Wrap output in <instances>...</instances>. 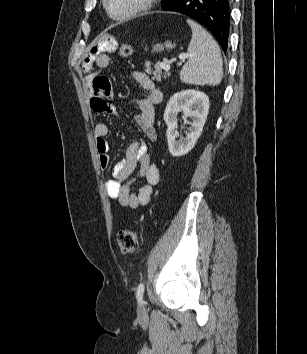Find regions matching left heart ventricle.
<instances>
[{"label": "left heart ventricle", "mask_w": 307, "mask_h": 354, "mask_svg": "<svg viewBox=\"0 0 307 354\" xmlns=\"http://www.w3.org/2000/svg\"><path fill=\"white\" fill-rule=\"evenodd\" d=\"M140 0H109L110 10L119 15L131 10Z\"/></svg>", "instance_id": "left-heart-ventricle-1"}]
</instances>
